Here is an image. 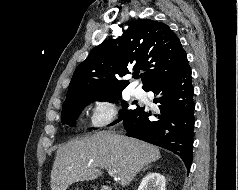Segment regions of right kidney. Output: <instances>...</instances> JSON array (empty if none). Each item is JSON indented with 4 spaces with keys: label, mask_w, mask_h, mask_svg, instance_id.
I'll return each mask as SVG.
<instances>
[{
    "label": "right kidney",
    "mask_w": 238,
    "mask_h": 190,
    "mask_svg": "<svg viewBox=\"0 0 238 190\" xmlns=\"http://www.w3.org/2000/svg\"><path fill=\"white\" fill-rule=\"evenodd\" d=\"M165 185V177L159 173L153 172L142 179L138 190H165Z\"/></svg>",
    "instance_id": "1"
}]
</instances>
